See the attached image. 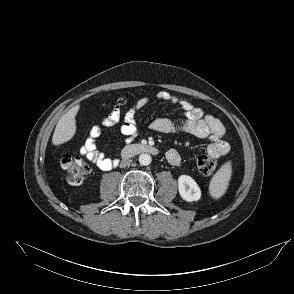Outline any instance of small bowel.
Listing matches in <instances>:
<instances>
[{
  "label": "small bowel",
  "mask_w": 294,
  "mask_h": 294,
  "mask_svg": "<svg viewBox=\"0 0 294 294\" xmlns=\"http://www.w3.org/2000/svg\"><path fill=\"white\" fill-rule=\"evenodd\" d=\"M155 99L178 104L185 114V119L180 122H174L168 118H155L150 123V128L153 131L164 134L186 132L197 137L208 138L210 144L207 147V153L214 158H219L229 153L230 146L225 140V128L216 117L204 113L201 108L167 91H159L155 95ZM150 102L151 99L149 97H143L125 114L123 123L120 126V132L126 136V142H130L137 137L139 130L136 122V112L147 106ZM119 120V110L113 109L108 116L103 118L100 126L96 125L90 129L89 136L80 149L82 155L104 171L111 170L117 166L118 160L106 157L104 153L98 149L97 140L102 133L109 131L118 124ZM166 159L172 166H177L181 162L180 153L176 149L168 150L166 152Z\"/></svg>",
  "instance_id": "1"
}]
</instances>
